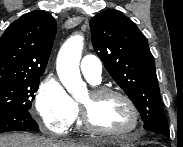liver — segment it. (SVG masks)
<instances>
[{
    "label": "liver",
    "mask_w": 183,
    "mask_h": 147,
    "mask_svg": "<svg viewBox=\"0 0 183 147\" xmlns=\"http://www.w3.org/2000/svg\"><path fill=\"white\" fill-rule=\"evenodd\" d=\"M101 142H65L26 133H11L0 136V147H95Z\"/></svg>",
    "instance_id": "obj_1"
}]
</instances>
